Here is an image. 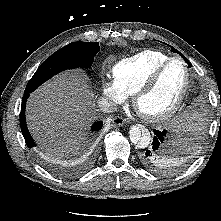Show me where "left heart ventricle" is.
Instances as JSON below:
<instances>
[{"mask_svg": "<svg viewBox=\"0 0 221 221\" xmlns=\"http://www.w3.org/2000/svg\"><path fill=\"white\" fill-rule=\"evenodd\" d=\"M184 83L185 68L180 61H175L165 70L152 91L141 99L140 110L155 114L168 109L179 97Z\"/></svg>", "mask_w": 221, "mask_h": 221, "instance_id": "1", "label": "left heart ventricle"}]
</instances>
